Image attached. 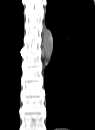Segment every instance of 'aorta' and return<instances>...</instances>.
Listing matches in <instances>:
<instances>
[{
  "mask_svg": "<svg viewBox=\"0 0 95 130\" xmlns=\"http://www.w3.org/2000/svg\"><path fill=\"white\" fill-rule=\"evenodd\" d=\"M42 49L45 56L46 64L48 65L52 59L54 52V39L52 31L45 28L42 34Z\"/></svg>",
  "mask_w": 95,
  "mask_h": 130,
  "instance_id": "762f6f07",
  "label": "aorta"
}]
</instances>
